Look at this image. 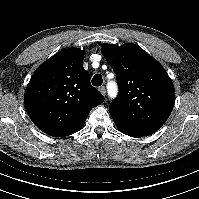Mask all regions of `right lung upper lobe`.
I'll return each instance as SVG.
<instances>
[{
  "instance_id": "1",
  "label": "right lung upper lobe",
  "mask_w": 199,
  "mask_h": 199,
  "mask_svg": "<svg viewBox=\"0 0 199 199\" xmlns=\"http://www.w3.org/2000/svg\"><path fill=\"white\" fill-rule=\"evenodd\" d=\"M84 52L70 48L54 55L34 72L25 90L26 111L44 133L65 137L78 132L103 95L90 84Z\"/></svg>"
}]
</instances>
